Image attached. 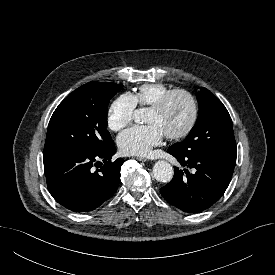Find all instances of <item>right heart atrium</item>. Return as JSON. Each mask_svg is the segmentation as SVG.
Returning a JSON list of instances; mask_svg holds the SVG:
<instances>
[{
	"instance_id": "1",
	"label": "right heart atrium",
	"mask_w": 275,
	"mask_h": 275,
	"mask_svg": "<svg viewBox=\"0 0 275 275\" xmlns=\"http://www.w3.org/2000/svg\"><path fill=\"white\" fill-rule=\"evenodd\" d=\"M136 109V103L130 94H121L109 106L107 125L112 131H120L129 125Z\"/></svg>"
}]
</instances>
